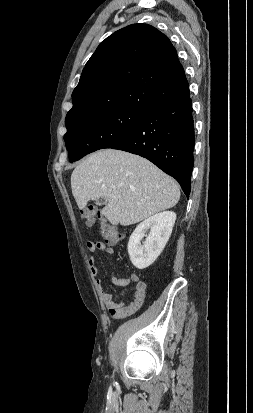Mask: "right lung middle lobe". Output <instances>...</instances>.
Returning <instances> with one entry per match:
<instances>
[{"label": "right lung middle lobe", "instance_id": "1", "mask_svg": "<svg viewBox=\"0 0 253 413\" xmlns=\"http://www.w3.org/2000/svg\"><path fill=\"white\" fill-rule=\"evenodd\" d=\"M144 113L138 110L115 109L67 123L64 141L69 161H77L122 138L139 124Z\"/></svg>", "mask_w": 253, "mask_h": 413}]
</instances>
